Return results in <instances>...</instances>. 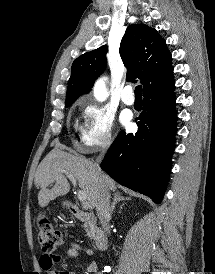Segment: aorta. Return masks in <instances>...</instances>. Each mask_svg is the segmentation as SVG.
I'll list each match as a JSON object with an SVG mask.
<instances>
[{
	"label": "aorta",
	"mask_w": 215,
	"mask_h": 274,
	"mask_svg": "<svg viewBox=\"0 0 215 274\" xmlns=\"http://www.w3.org/2000/svg\"><path fill=\"white\" fill-rule=\"evenodd\" d=\"M94 96L99 101H104L107 97L106 87L102 79L98 80L94 86Z\"/></svg>",
	"instance_id": "1"
}]
</instances>
